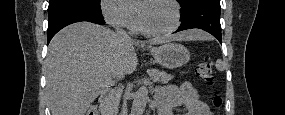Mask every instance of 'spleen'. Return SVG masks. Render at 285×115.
<instances>
[{"instance_id":"3e777b00","label":"spleen","mask_w":285,"mask_h":115,"mask_svg":"<svg viewBox=\"0 0 285 115\" xmlns=\"http://www.w3.org/2000/svg\"><path fill=\"white\" fill-rule=\"evenodd\" d=\"M215 66L218 71H224L225 69L224 63L220 59L216 61Z\"/></svg>"}]
</instances>
